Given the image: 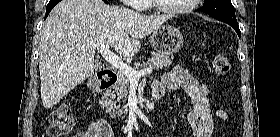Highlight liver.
<instances>
[{"instance_id": "liver-1", "label": "liver", "mask_w": 280, "mask_h": 137, "mask_svg": "<svg viewBox=\"0 0 280 137\" xmlns=\"http://www.w3.org/2000/svg\"><path fill=\"white\" fill-rule=\"evenodd\" d=\"M169 15H141L102 0H62L40 33L41 99L54 107L95 70L93 43L109 44L119 55L139 52L140 40L159 28Z\"/></svg>"}]
</instances>
